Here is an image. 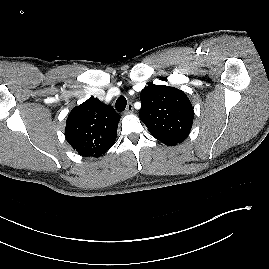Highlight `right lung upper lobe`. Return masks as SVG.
Wrapping results in <instances>:
<instances>
[{
	"label": "right lung upper lobe",
	"instance_id": "1",
	"mask_svg": "<svg viewBox=\"0 0 269 269\" xmlns=\"http://www.w3.org/2000/svg\"><path fill=\"white\" fill-rule=\"evenodd\" d=\"M120 115L97 98H89L68 115L65 136L81 155L100 157L114 145Z\"/></svg>",
	"mask_w": 269,
	"mask_h": 269
}]
</instances>
